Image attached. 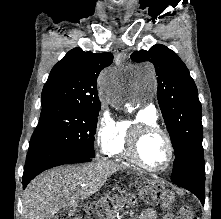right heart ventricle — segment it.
<instances>
[{"mask_svg": "<svg viewBox=\"0 0 221 219\" xmlns=\"http://www.w3.org/2000/svg\"><path fill=\"white\" fill-rule=\"evenodd\" d=\"M156 122L157 116L146 110L139 111L134 119H123L118 121L107 154L126 161H131L126 153L127 137L130 128L136 123L156 124Z\"/></svg>", "mask_w": 221, "mask_h": 219, "instance_id": "1", "label": "right heart ventricle"}]
</instances>
